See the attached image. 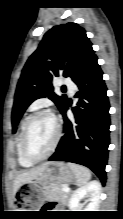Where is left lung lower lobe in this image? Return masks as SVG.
Returning a JSON list of instances; mask_svg holds the SVG:
<instances>
[{
	"instance_id": "0a47b994",
	"label": "left lung lower lobe",
	"mask_w": 123,
	"mask_h": 219,
	"mask_svg": "<svg viewBox=\"0 0 123 219\" xmlns=\"http://www.w3.org/2000/svg\"><path fill=\"white\" fill-rule=\"evenodd\" d=\"M103 72L97 57L89 59L73 79L79 91L76 107L72 108L74 120L66 116L69 100L61 110L64 118L63 136L50 161H67L90 168L106 182L105 166L110 144L109 101Z\"/></svg>"
}]
</instances>
